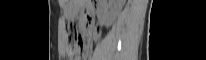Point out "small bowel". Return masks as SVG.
Returning a JSON list of instances; mask_svg holds the SVG:
<instances>
[{
	"instance_id": "1",
	"label": "small bowel",
	"mask_w": 206,
	"mask_h": 60,
	"mask_svg": "<svg viewBox=\"0 0 206 60\" xmlns=\"http://www.w3.org/2000/svg\"><path fill=\"white\" fill-rule=\"evenodd\" d=\"M75 59H76V60H80V57H76Z\"/></svg>"
}]
</instances>
